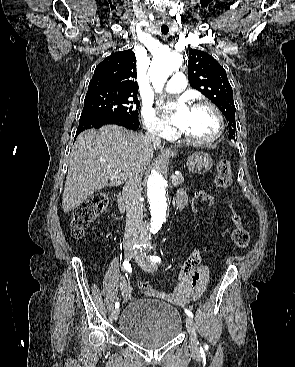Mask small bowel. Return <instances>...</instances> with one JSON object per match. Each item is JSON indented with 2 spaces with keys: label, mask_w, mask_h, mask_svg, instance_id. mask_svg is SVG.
Returning <instances> with one entry per match:
<instances>
[{
  "label": "small bowel",
  "mask_w": 295,
  "mask_h": 367,
  "mask_svg": "<svg viewBox=\"0 0 295 367\" xmlns=\"http://www.w3.org/2000/svg\"><path fill=\"white\" fill-rule=\"evenodd\" d=\"M207 195L201 191L198 196ZM188 196L184 189H180L176 195L177 203H187ZM203 258V249L196 248L185 260L181 267V284L175 292V298L180 303H190L199 299L210 281V269L207 266L200 265ZM121 295L124 299L131 296V286L127 280L121 283Z\"/></svg>",
  "instance_id": "1"
}]
</instances>
